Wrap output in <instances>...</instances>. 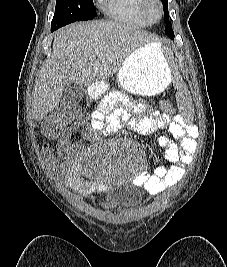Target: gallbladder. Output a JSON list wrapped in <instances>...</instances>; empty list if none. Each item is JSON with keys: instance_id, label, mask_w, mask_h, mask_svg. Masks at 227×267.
Returning a JSON list of instances; mask_svg holds the SVG:
<instances>
[{"instance_id": "gallbladder-1", "label": "gallbladder", "mask_w": 227, "mask_h": 267, "mask_svg": "<svg viewBox=\"0 0 227 267\" xmlns=\"http://www.w3.org/2000/svg\"><path fill=\"white\" fill-rule=\"evenodd\" d=\"M84 94V88L78 84H67L62 91V97L59 103L60 108L63 110L74 108L81 101Z\"/></svg>"}]
</instances>
